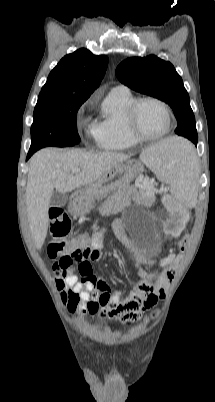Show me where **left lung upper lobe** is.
Masks as SVG:
<instances>
[{"label":"left lung upper lobe","mask_w":215,"mask_h":402,"mask_svg":"<svg viewBox=\"0 0 215 402\" xmlns=\"http://www.w3.org/2000/svg\"><path fill=\"white\" fill-rule=\"evenodd\" d=\"M117 78L133 90L171 106L178 126L175 133L197 145L198 136L189 95L174 66L154 55L126 59L116 68Z\"/></svg>","instance_id":"left-lung-upper-lobe-1"}]
</instances>
